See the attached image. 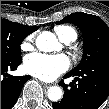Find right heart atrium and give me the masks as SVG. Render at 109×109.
Here are the masks:
<instances>
[{"label":"right heart atrium","instance_id":"obj_1","mask_svg":"<svg viewBox=\"0 0 109 109\" xmlns=\"http://www.w3.org/2000/svg\"><path fill=\"white\" fill-rule=\"evenodd\" d=\"M34 39L32 36L26 37L20 44L22 51H29L33 49Z\"/></svg>","mask_w":109,"mask_h":109}]
</instances>
